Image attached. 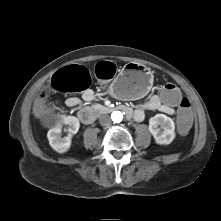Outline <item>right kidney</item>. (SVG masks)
Segmentation results:
<instances>
[{"label":"right kidney","mask_w":221,"mask_h":221,"mask_svg":"<svg viewBox=\"0 0 221 221\" xmlns=\"http://www.w3.org/2000/svg\"><path fill=\"white\" fill-rule=\"evenodd\" d=\"M68 126L69 134L61 137L63 126ZM79 120L74 116H58L53 123V127L48 131L47 137L50 146L59 153L68 151L71 146L72 134H76L79 130Z\"/></svg>","instance_id":"obj_1"}]
</instances>
